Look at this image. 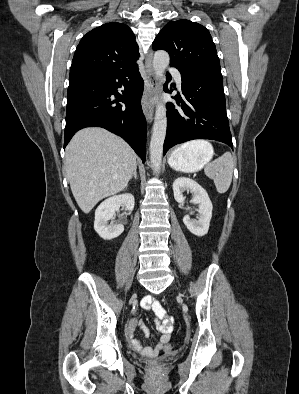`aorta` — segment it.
Listing matches in <instances>:
<instances>
[{
    "mask_svg": "<svg viewBox=\"0 0 299 394\" xmlns=\"http://www.w3.org/2000/svg\"><path fill=\"white\" fill-rule=\"evenodd\" d=\"M169 61V54L166 51L159 50L155 52L153 59V69L160 82H162L164 78V72L169 65ZM166 129V106L160 101L156 105L155 119L150 141V161L155 173H159L161 168Z\"/></svg>",
    "mask_w": 299,
    "mask_h": 394,
    "instance_id": "762f6f07",
    "label": "aorta"
}]
</instances>
